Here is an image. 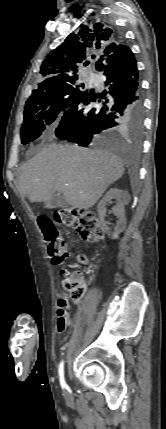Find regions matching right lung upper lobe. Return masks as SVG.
I'll return each mask as SVG.
<instances>
[{
    "mask_svg": "<svg viewBox=\"0 0 166 429\" xmlns=\"http://www.w3.org/2000/svg\"><path fill=\"white\" fill-rule=\"evenodd\" d=\"M104 27L81 26L78 33H71L65 41L54 49L43 61L40 74L44 79L36 90L50 87L71 76H76L79 66L92 53L97 61L104 54H112L124 45L119 44L118 36Z\"/></svg>",
    "mask_w": 166,
    "mask_h": 429,
    "instance_id": "cb5924a9",
    "label": "right lung upper lobe"
}]
</instances>
